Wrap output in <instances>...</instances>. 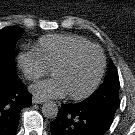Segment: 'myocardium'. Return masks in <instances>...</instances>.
<instances>
[{
  "instance_id": "1",
  "label": "myocardium",
  "mask_w": 135,
  "mask_h": 135,
  "mask_svg": "<svg viewBox=\"0 0 135 135\" xmlns=\"http://www.w3.org/2000/svg\"><path fill=\"white\" fill-rule=\"evenodd\" d=\"M90 49L97 50L98 53L100 54L101 63H100L99 71H98L96 78L92 82V84L84 92H82L80 94L68 93V96L73 100H82V99L89 97L99 86V84L103 78L105 68H106V57H105L103 50L98 45H95V44L79 46V47H76L73 50H71L68 54H66L63 58L58 60L52 66L51 71L53 73L57 68H60L62 66L69 64L81 52L90 50Z\"/></svg>"
}]
</instances>
